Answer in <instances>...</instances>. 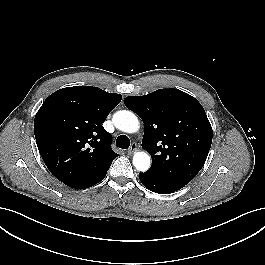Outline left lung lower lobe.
I'll list each match as a JSON object with an SVG mask.
<instances>
[{"label": "left lung lower lobe", "instance_id": "obj_1", "mask_svg": "<svg viewBox=\"0 0 265 265\" xmlns=\"http://www.w3.org/2000/svg\"><path fill=\"white\" fill-rule=\"evenodd\" d=\"M139 179L146 188L155 193L168 194L182 188L180 185L171 183L148 172L139 173Z\"/></svg>", "mask_w": 265, "mask_h": 265}]
</instances>
